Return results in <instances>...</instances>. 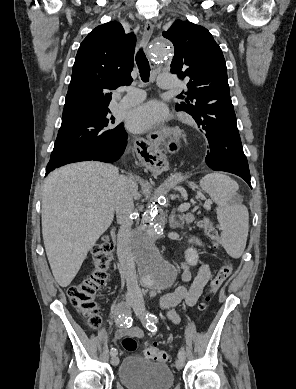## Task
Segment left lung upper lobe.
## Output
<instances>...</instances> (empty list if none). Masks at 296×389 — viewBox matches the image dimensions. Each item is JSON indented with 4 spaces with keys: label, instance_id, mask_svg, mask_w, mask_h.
<instances>
[{
    "label": "left lung upper lobe",
    "instance_id": "obj_1",
    "mask_svg": "<svg viewBox=\"0 0 296 389\" xmlns=\"http://www.w3.org/2000/svg\"><path fill=\"white\" fill-rule=\"evenodd\" d=\"M163 36L175 49L171 72L189 81L188 92L178 95L189 105L176 104V110L190 114L199 126L211 107L231 98L223 53L206 28L189 21H175Z\"/></svg>",
    "mask_w": 296,
    "mask_h": 389
}]
</instances>
